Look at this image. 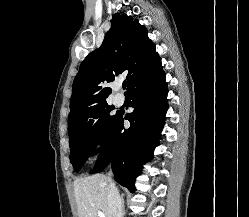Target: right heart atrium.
Returning a JSON list of instances; mask_svg holds the SVG:
<instances>
[{
  "label": "right heart atrium",
  "mask_w": 249,
  "mask_h": 217,
  "mask_svg": "<svg viewBox=\"0 0 249 217\" xmlns=\"http://www.w3.org/2000/svg\"><path fill=\"white\" fill-rule=\"evenodd\" d=\"M99 145H100V140H99V138L96 140V142H95V146L96 147H99Z\"/></svg>",
  "instance_id": "obj_1"
}]
</instances>
